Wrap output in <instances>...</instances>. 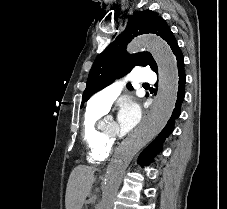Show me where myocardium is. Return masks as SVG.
Listing matches in <instances>:
<instances>
[{"mask_svg": "<svg viewBox=\"0 0 227 209\" xmlns=\"http://www.w3.org/2000/svg\"><path fill=\"white\" fill-rule=\"evenodd\" d=\"M101 137L109 144H113L118 140H121L123 136L120 135H113L107 133L105 130H100Z\"/></svg>", "mask_w": 227, "mask_h": 209, "instance_id": "1", "label": "myocardium"}]
</instances>
